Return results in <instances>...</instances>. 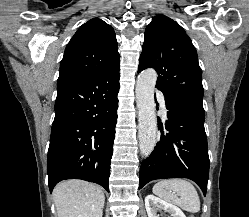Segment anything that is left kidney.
Segmentation results:
<instances>
[{
	"instance_id": "1",
	"label": "left kidney",
	"mask_w": 249,
	"mask_h": 217,
	"mask_svg": "<svg viewBox=\"0 0 249 217\" xmlns=\"http://www.w3.org/2000/svg\"><path fill=\"white\" fill-rule=\"evenodd\" d=\"M145 207L148 217H159L157 215L158 210H164L169 213L171 217H186L180 208L154 196L153 194H148L145 197Z\"/></svg>"
}]
</instances>
